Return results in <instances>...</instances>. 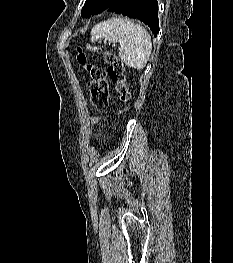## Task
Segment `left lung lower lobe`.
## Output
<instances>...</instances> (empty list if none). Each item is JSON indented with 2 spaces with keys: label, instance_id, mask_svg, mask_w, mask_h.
Segmentation results:
<instances>
[{
  "label": "left lung lower lobe",
  "instance_id": "0a47b994",
  "mask_svg": "<svg viewBox=\"0 0 233 263\" xmlns=\"http://www.w3.org/2000/svg\"><path fill=\"white\" fill-rule=\"evenodd\" d=\"M106 10L143 21L155 36L159 32L157 0H116Z\"/></svg>",
  "mask_w": 233,
  "mask_h": 263
}]
</instances>
